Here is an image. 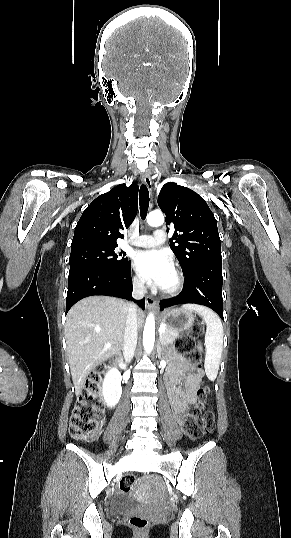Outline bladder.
Returning <instances> with one entry per match:
<instances>
[{
    "mask_svg": "<svg viewBox=\"0 0 291 538\" xmlns=\"http://www.w3.org/2000/svg\"><path fill=\"white\" fill-rule=\"evenodd\" d=\"M133 507L135 506L132 503L128 501H119V500H114L110 505V508L114 513H121Z\"/></svg>",
    "mask_w": 291,
    "mask_h": 538,
    "instance_id": "31cf9c89",
    "label": "bladder"
}]
</instances>
